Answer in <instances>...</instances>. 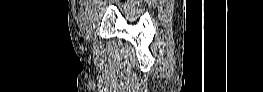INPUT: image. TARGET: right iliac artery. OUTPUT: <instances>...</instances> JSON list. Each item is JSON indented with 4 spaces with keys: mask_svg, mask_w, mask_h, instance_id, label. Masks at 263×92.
<instances>
[{
    "mask_svg": "<svg viewBox=\"0 0 263 92\" xmlns=\"http://www.w3.org/2000/svg\"><path fill=\"white\" fill-rule=\"evenodd\" d=\"M92 0H89L88 3L86 4V9L83 13V29H88V26L90 25L89 22V12L91 10L92 4H91Z\"/></svg>",
    "mask_w": 263,
    "mask_h": 92,
    "instance_id": "right-iliac-artery-1",
    "label": "right iliac artery"
}]
</instances>
